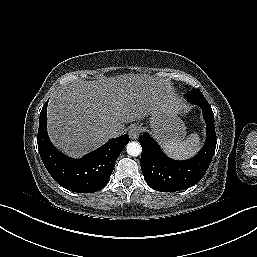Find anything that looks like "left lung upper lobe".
<instances>
[{"mask_svg":"<svg viewBox=\"0 0 257 257\" xmlns=\"http://www.w3.org/2000/svg\"><path fill=\"white\" fill-rule=\"evenodd\" d=\"M189 101L195 103L197 101H207L199 89H194L185 95Z\"/></svg>","mask_w":257,"mask_h":257,"instance_id":"obj_1","label":"left lung upper lobe"}]
</instances>
